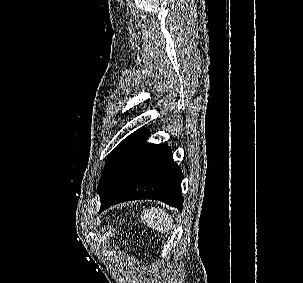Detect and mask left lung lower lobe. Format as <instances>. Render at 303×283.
Listing matches in <instances>:
<instances>
[{
    "label": "left lung lower lobe",
    "instance_id": "0a47b994",
    "mask_svg": "<svg viewBox=\"0 0 303 283\" xmlns=\"http://www.w3.org/2000/svg\"><path fill=\"white\" fill-rule=\"evenodd\" d=\"M147 129H138L119 152L106 180L98 189L100 212L126 200H161L183 208L182 171L164 144L147 143Z\"/></svg>",
    "mask_w": 303,
    "mask_h": 283
}]
</instances>
